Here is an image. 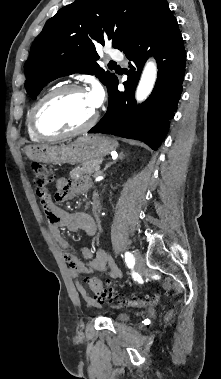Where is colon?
<instances>
[{"mask_svg": "<svg viewBox=\"0 0 221 379\" xmlns=\"http://www.w3.org/2000/svg\"><path fill=\"white\" fill-rule=\"evenodd\" d=\"M32 169L37 195L41 201H44L50 196V186L54 180V175L49 168L39 163H34ZM86 281L98 301H111L118 298V296L109 287L103 284L99 278L89 277ZM154 300L155 298L146 295L133 297L129 299L127 303L132 306H141L149 304Z\"/></svg>", "mask_w": 221, "mask_h": 379, "instance_id": "obj_1", "label": "colon"}]
</instances>
